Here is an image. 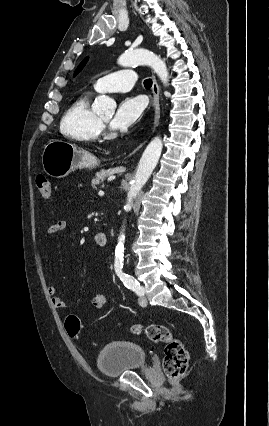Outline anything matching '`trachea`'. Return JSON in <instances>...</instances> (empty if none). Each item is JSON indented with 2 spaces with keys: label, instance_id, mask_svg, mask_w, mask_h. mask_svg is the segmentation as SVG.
I'll use <instances>...</instances> for the list:
<instances>
[{
  "label": "trachea",
  "instance_id": "obj_1",
  "mask_svg": "<svg viewBox=\"0 0 269 426\" xmlns=\"http://www.w3.org/2000/svg\"><path fill=\"white\" fill-rule=\"evenodd\" d=\"M144 86H145V88H151V86H152V79H146L144 81Z\"/></svg>",
  "mask_w": 269,
  "mask_h": 426
}]
</instances>
